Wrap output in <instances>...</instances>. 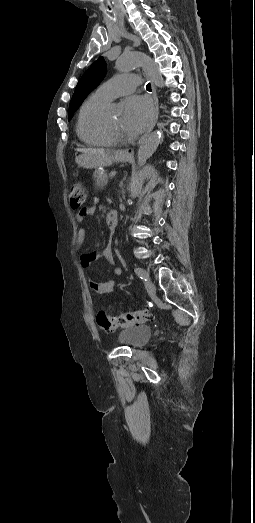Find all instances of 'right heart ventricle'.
<instances>
[{
  "mask_svg": "<svg viewBox=\"0 0 255 523\" xmlns=\"http://www.w3.org/2000/svg\"><path fill=\"white\" fill-rule=\"evenodd\" d=\"M110 100L98 88L82 103L77 120V134L84 143L92 146H108L114 142L98 124Z\"/></svg>",
  "mask_w": 255,
  "mask_h": 523,
  "instance_id": "obj_1",
  "label": "right heart ventricle"
}]
</instances>
